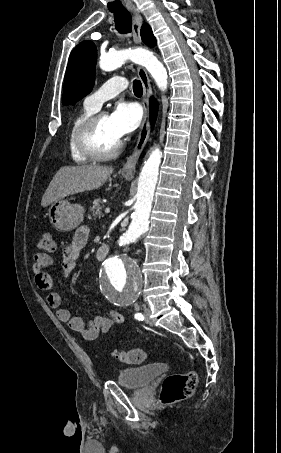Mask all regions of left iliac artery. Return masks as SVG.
I'll return each mask as SVG.
<instances>
[{
	"mask_svg": "<svg viewBox=\"0 0 281 453\" xmlns=\"http://www.w3.org/2000/svg\"><path fill=\"white\" fill-rule=\"evenodd\" d=\"M135 318L138 319L139 321H143L144 320V316L141 314V313H137L135 314Z\"/></svg>",
	"mask_w": 281,
	"mask_h": 453,
	"instance_id": "44dca946",
	"label": "left iliac artery"
}]
</instances>
